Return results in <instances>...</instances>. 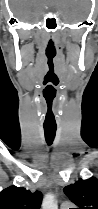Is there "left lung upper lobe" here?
<instances>
[{
  "instance_id": "1",
  "label": "left lung upper lobe",
  "mask_w": 98,
  "mask_h": 209,
  "mask_svg": "<svg viewBox=\"0 0 98 209\" xmlns=\"http://www.w3.org/2000/svg\"><path fill=\"white\" fill-rule=\"evenodd\" d=\"M64 193L78 209H98V179L94 177L66 186Z\"/></svg>"
}]
</instances>
